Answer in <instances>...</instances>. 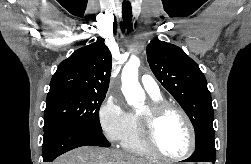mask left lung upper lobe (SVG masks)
<instances>
[{"label":"left lung upper lobe","instance_id":"obj_1","mask_svg":"<svg viewBox=\"0 0 251 164\" xmlns=\"http://www.w3.org/2000/svg\"><path fill=\"white\" fill-rule=\"evenodd\" d=\"M147 60L156 78L189 116L195 130L196 147L215 153L213 107L207 81L197 63L178 46L153 39Z\"/></svg>","mask_w":251,"mask_h":164}]
</instances>
